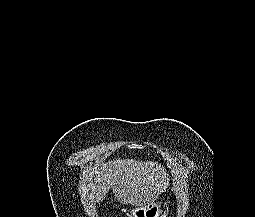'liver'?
Here are the masks:
<instances>
[{"instance_id": "1", "label": "liver", "mask_w": 255, "mask_h": 217, "mask_svg": "<svg viewBox=\"0 0 255 217\" xmlns=\"http://www.w3.org/2000/svg\"><path fill=\"white\" fill-rule=\"evenodd\" d=\"M168 185V175L161 165L116 159L103 167L90 168L80 184L79 194L84 203H100L112 188L121 204L142 207L153 203Z\"/></svg>"}]
</instances>
